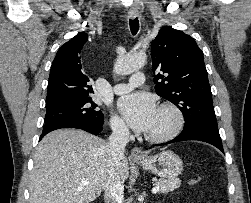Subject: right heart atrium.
<instances>
[{
  "label": "right heart atrium",
  "instance_id": "d8ad5b80",
  "mask_svg": "<svg viewBox=\"0 0 251 203\" xmlns=\"http://www.w3.org/2000/svg\"><path fill=\"white\" fill-rule=\"evenodd\" d=\"M110 125H111L113 132L116 135L124 136L128 132V129H127L125 122L121 118H119L118 116L111 117Z\"/></svg>",
  "mask_w": 251,
  "mask_h": 203
}]
</instances>
